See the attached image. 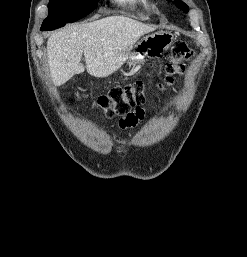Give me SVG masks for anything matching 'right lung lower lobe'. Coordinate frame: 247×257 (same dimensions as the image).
Listing matches in <instances>:
<instances>
[{"label":"right lung lower lobe","mask_w":247,"mask_h":257,"mask_svg":"<svg viewBox=\"0 0 247 257\" xmlns=\"http://www.w3.org/2000/svg\"><path fill=\"white\" fill-rule=\"evenodd\" d=\"M50 30H54V29L51 27H44V26L41 27V31H50Z\"/></svg>","instance_id":"1"}]
</instances>
